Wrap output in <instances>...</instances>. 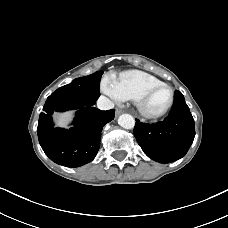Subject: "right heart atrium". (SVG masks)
I'll return each mask as SVG.
<instances>
[{
	"mask_svg": "<svg viewBox=\"0 0 228 228\" xmlns=\"http://www.w3.org/2000/svg\"><path fill=\"white\" fill-rule=\"evenodd\" d=\"M115 79L111 75H107L103 79L102 87L105 93L111 96L116 101H121L122 99L118 95L115 88Z\"/></svg>",
	"mask_w": 228,
	"mask_h": 228,
	"instance_id": "obj_1",
	"label": "right heart atrium"
}]
</instances>
